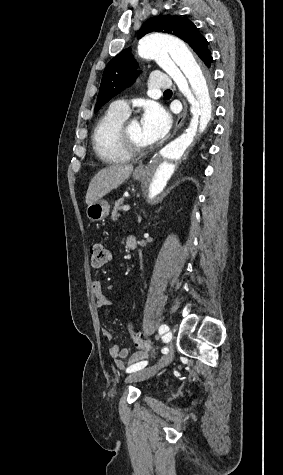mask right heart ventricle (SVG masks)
<instances>
[{
    "label": "right heart ventricle",
    "mask_w": 283,
    "mask_h": 475,
    "mask_svg": "<svg viewBox=\"0 0 283 475\" xmlns=\"http://www.w3.org/2000/svg\"><path fill=\"white\" fill-rule=\"evenodd\" d=\"M128 114V110H124L111 104L99 117L92 134V143L97 154L103 145H108L109 150L110 147L114 145L118 128L125 122ZM102 160L109 162L104 159Z\"/></svg>",
    "instance_id": "obj_1"
}]
</instances>
